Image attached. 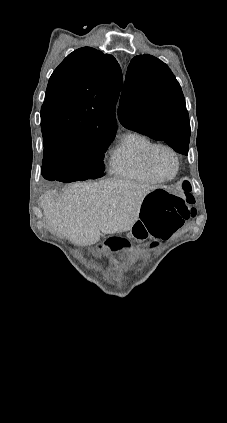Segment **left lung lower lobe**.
<instances>
[{
	"label": "left lung lower lobe",
	"instance_id": "1",
	"mask_svg": "<svg viewBox=\"0 0 227 423\" xmlns=\"http://www.w3.org/2000/svg\"><path fill=\"white\" fill-rule=\"evenodd\" d=\"M188 145L187 143H180L177 146L173 147V149L175 151H177L178 153H181L183 155H187L188 153Z\"/></svg>",
	"mask_w": 227,
	"mask_h": 423
}]
</instances>
